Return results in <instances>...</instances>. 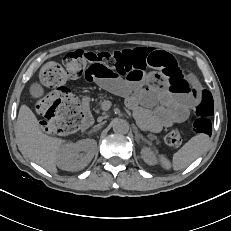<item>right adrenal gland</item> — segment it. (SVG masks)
I'll return each mask as SVG.
<instances>
[{"mask_svg": "<svg viewBox=\"0 0 231 231\" xmlns=\"http://www.w3.org/2000/svg\"><path fill=\"white\" fill-rule=\"evenodd\" d=\"M100 128H101L100 126L98 128H93L89 133H93V132L99 130Z\"/></svg>", "mask_w": 231, "mask_h": 231, "instance_id": "2a0ac1e0", "label": "right adrenal gland"}]
</instances>
